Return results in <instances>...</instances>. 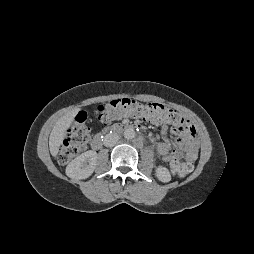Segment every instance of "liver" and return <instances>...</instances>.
<instances>
[{
  "instance_id": "6515ba94",
  "label": "liver",
  "mask_w": 254,
  "mask_h": 254,
  "mask_svg": "<svg viewBox=\"0 0 254 254\" xmlns=\"http://www.w3.org/2000/svg\"><path fill=\"white\" fill-rule=\"evenodd\" d=\"M80 109H74L62 116L53 127L49 137V149L52 156L56 157L65 138L67 129L71 126L75 115Z\"/></svg>"
}]
</instances>
